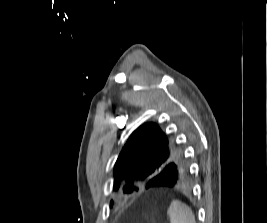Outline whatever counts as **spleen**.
Masks as SVG:
<instances>
[{
	"instance_id": "obj_1",
	"label": "spleen",
	"mask_w": 267,
	"mask_h": 223,
	"mask_svg": "<svg viewBox=\"0 0 267 223\" xmlns=\"http://www.w3.org/2000/svg\"><path fill=\"white\" fill-rule=\"evenodd\" d=\"M170 223H196L194 214L186 204L174 200L167 210Z\"/></svg>"
}]
</instances>
